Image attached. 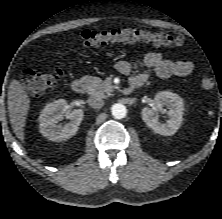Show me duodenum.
<instances>
[{"label":"duodenum","mask_w":222,"mask_h":219,"mask_svg":"<svg viewBox=\"0 0 222 219\" xmlns=\"http://www.w3.org/2000/svg\"><path fill=\"white\" fill-rule=\"evenodd\" d=\"M142 84L140 83H131L128 88H126V91H135L140 88ZM71 89L75 94H83L86 91V82L85 80L78 78L72 81L71 83Z\"/></svg>","instance_id":"obj_1"}]
</instances>
